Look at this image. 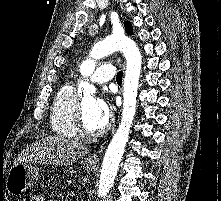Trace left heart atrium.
Listing matches in <instances>:
<instances>
[{"label": "left heart atrium", "instance_id": "left-heart-atrium-1", "mask_svg": "<svg viewBox=\"0 0 221 201\" xmlns=\"http://www.w3.org/2000/svg\"><path fill=\"white\" fill-rule=\"evenodd\" d=\"M95 105L97 113L107 123L112 113L110 105L105 99H97Z\"/></svg>", "mask_w": 221, "mask_h": 201}]
</instances>
